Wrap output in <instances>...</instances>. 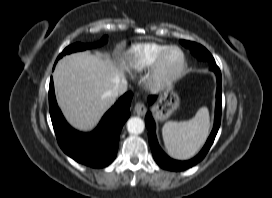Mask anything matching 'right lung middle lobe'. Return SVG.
<instances>
[{"mask_svg": "<svg viewBox=\"0 0 272 198\" xmlns=\"http://www.w3.org/2000/svg\"><path fill=\"white\" fill-rule=\"evenodd\" d=\"M106 42H107V36H104L100 40V42L98 44H96V45H102V44H104ZM90 47H91L90 44L75 43L73 45H70V46L66 47L63 50V52L58 56L57 60L59 58H61L63 55H65V54H69V53L76 52V51H82V50H85V49L90 48Z\"/></svg>", "mask_w": 272, "mask_h": 198, "instance_id": "right-lung-middle-lobe-1", "label": "right lung middle lobe"}]
</instances>
